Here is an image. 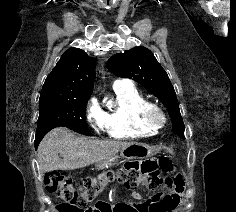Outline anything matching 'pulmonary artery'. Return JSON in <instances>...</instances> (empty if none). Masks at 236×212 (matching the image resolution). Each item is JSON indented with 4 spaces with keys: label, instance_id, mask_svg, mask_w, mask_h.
I'll use <instances>...</instances> for the list:
<instances>
[{
    "label": "pulmonary artery",
    "instance_id": "1",
    "mask_svg": "<svg viewBox=\"0 0 236 212\" xmlns=\"http://www.w3.org/2000/svg\"><path fill=\"white\" fill-rule=\"evenodd\" d=\"M126 82H127L126 80H116V81L113 83V86H118V85L124 84V83H126Z\"/></svg>",
    "mask_w": 236,
    "mask_h": 212
}]
</instances>
